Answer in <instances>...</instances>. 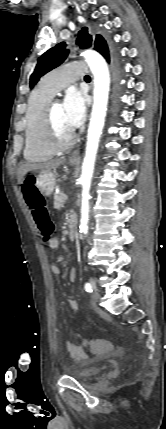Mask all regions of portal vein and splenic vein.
I'll list each match as a JSON object with an SVG mask.
<instances>
[{"mask_svg":"<svg viewBox=\"0 0 166 429\" xmlns=\"http://www.w3.org/2000/svg\"><path fill=\"white\" fill-rule=\"evenodd\" d=\"M63 198H64V200H67L68 196H67V195H64V197H63Z\"/></svg>","mask_w":166,"mask_h":429,"instance_id":"obj_1","label":"portal vein and splenic vein"}]
</instances>
